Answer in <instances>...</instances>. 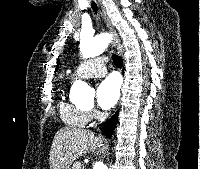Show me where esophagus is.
I'll use <instances>...</instances> for the list:
<instances>
[{
  "label": "esophagus",
  "instance_id": "obj_1",
  "mask_svg": "<svg viewBox=\"0 0 200 169\" xmlns=\"http://www.w3.org/2000/svg\"><path fill=\"white\" fill-rule=\"evenodd\" d=\"M98 2H99V4H100V8H101V15H102V17H103V20H104V22H105V24H106V26H107V28H108V30L111 32V34L113 35V38H112V46L115 48V49H117V50H119V40H118V37H117V34H116V32H115V30H114V28H113V26H112V24H111V22H110V20H109V18H108V16H107V14H106V12H105V9H104V7H103V5L101 4V2H100V0H98Z\"/></svg>",
  "mask_w": 200,
  "mask_h": 169
}]
</instances>
